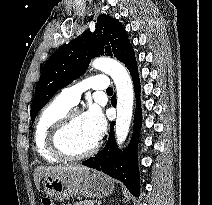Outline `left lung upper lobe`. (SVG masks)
<instances>
[{"label":"left lung upper lobe","mask_w":212,"mask_h":205,"mask_svg":"<svg viewBox=\"0 0 212 205\" xmlns=\"http://www.w3.org/2000/svg\"><path fill=\"white\" fill-rule=\"evenodd\" d=\"M133 48L123 25L109 15H99L96 29L84 31L70 43L62 46L46 61L35 89L31 105V120L61 88L79 78L91 58L100 55L116 57L125 62Z\"/></svg>","instance_id":"obj_1"}]
</instances>
